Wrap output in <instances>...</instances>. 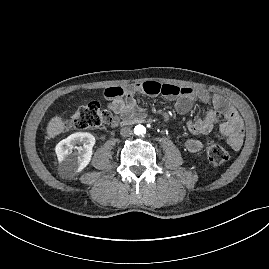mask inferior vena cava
<instances>
[{
  "label": "inferior vena cava",
  "mask_w": 269,
  "mask_h": 269,
  "mask_svg": "<svg viewBox=\"0 0 269 269\" xmlns=\"http://www.w3.org/2000/svg\"><path fill=\"white\" fill-rule=\"evenodd\" d=\"M123 137H129L133 134L131 127H123L120 131Z\"/></svg>",
  "instance_id": "inferior-vena-cava-1"
}]
</instances>
